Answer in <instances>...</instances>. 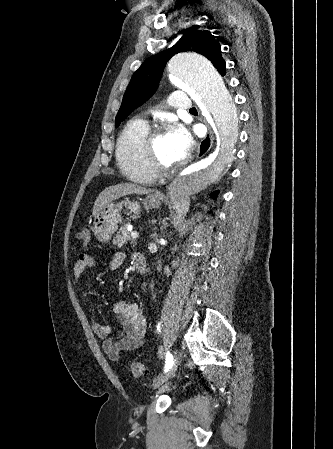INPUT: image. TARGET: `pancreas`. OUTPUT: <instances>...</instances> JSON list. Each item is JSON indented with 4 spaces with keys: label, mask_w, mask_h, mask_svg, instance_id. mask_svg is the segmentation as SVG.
Masks as SVG:
<instances>
[{
    "label": "pancreas",
    "mask_w": 333,
    "mask_h": 449,
    "mask_svg": "<svg viewBox=\"0 0 333 449\" xmlns=\"http://www.w3.org/2000/svg\"><path fill=\"white\" fill-rule=\"evenodd\" d=\"M129 240H131V235L127 229V225H124L119 229L113 243L121 247L122 245L126 244Z\"/></svg>",
    "instance_id": "pancreas-1"
}]
</instances>
